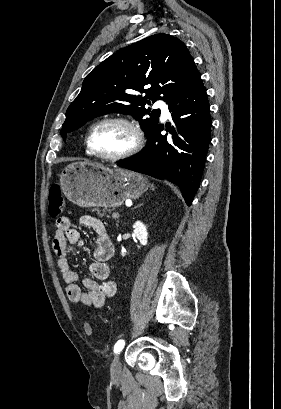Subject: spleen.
Listing matches in <instances>:
<instances>
[{"label": "spleen", "instance_id": "3e777b00", "mask_svg": "<svg viewBox=\"0 0 281 409\" xmlns=\"http://www.w3.org/2000/svg\"><path fill=\"white\" fill-rule=\"evenodd\" d=\"M151 186H153V184H151ZM152 190H154V188H152Z\"/></svg>", "mask_w": 281, "mask_h": 409}]
</instances>
